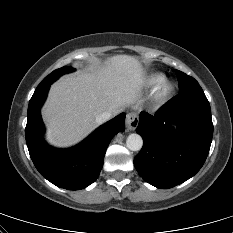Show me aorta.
I'll return each instance as SVG.
<instances>
[{"instance_id":"762f6f07","label":"aorta","mask_w":233,"mask_h":233,"mask_svg":"<svg viewBox=\"0 0 233 233\" xmlns=\"http://www.w3.org/2000/svg\"><path fill=\"white\" fill-rule=\"evenodd\" d=\"M142 137L136 133H132L127 137L126 146L132 151H139L142 148Z\"/></svg>"}]
</instances>
